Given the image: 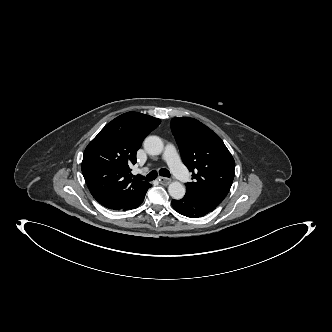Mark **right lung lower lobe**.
Returning a JSON list of instances; mask_svg holds the SVG:
<instances>
[{
    "label": "right lung lower lobe",
    "instance_id": "1",
    "mask_svg": "<svg viewBox=\"0 0 332 332\" xmlns=\"http://www.w3.org/2000/svg\"><path fill=\"white\" fill-rule=\"evenodd\" d=\"M151 187V184L132 202H130L129 204H127L125 207H123L120 210L126 211V210H131V209H135L138 206H140L144 200L145 194L147 192V190Z\"/></svg>",
    "mask_w": 332,
    "mask_h": 332
}]
</instances>
